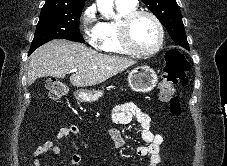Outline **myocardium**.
Instances as JSON below:
<instances>
[{"instance_id":"1","label":"myocardium","mask_w":227,"mask_h":166,"mask_svg":"<svg viewBox=\"0 0 227 166\" xmlns=\"http://www.w3.org/2000/svg\"><path fill=\"white\" fill-rule=\"evenodd\" d=\"M140 16H148L154 22L157 29V41L153 47L147 50L137 48L130 40V27ZM118 38L122 47L130 54L136 56H151L156 54L162 47L164 41V29L158 17L146 10H135L121 18L118 23Z\"/></svg>"}]
</instances>
